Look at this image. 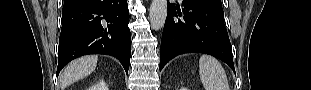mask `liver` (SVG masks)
I'll return each mask as SVG.
<instances>
[{
    "label": "liver",
    "mask_w": 311,
    "mask_h": 90,
    "mask_svg": "<svg viewBox=\"0 0 311 90\" xmlns=\"http://www.w3.org/2000/svg\"><path fill=\"white\" fill-rule=\"evenodd\" d=\"M97 56H83L80 57L67 65L63 71L60 79L61 88L82 79L90 75L97 66Z\"/></svg>",
    "instance_id": "6515ba94"
}]
</instances>
